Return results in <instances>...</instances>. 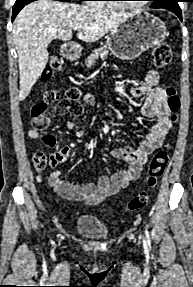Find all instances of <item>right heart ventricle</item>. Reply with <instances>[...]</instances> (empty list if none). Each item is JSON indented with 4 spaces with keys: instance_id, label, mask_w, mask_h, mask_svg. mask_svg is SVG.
Returning <instances> with one entry per match:
<instances>
[{
    "instance_id": "obj_1",
    "label": "right heart ventricle",
    "mask_w": 193,
    "mask_h": 287,
    "mask_svg": "<svg viewBox=\"0 0 193 287\" xmlns=\"http://www.w3.org/2000/svg\"><path fill=\"white\" fill-rule=\"evenodd\" d=\"M97 7H98V8H102V7H104V5H98Z\"/></svg>"
}]
</instances>
